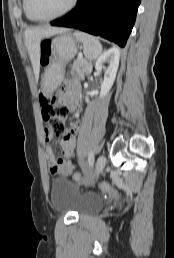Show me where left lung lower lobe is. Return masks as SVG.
Here are the masks:
<instances>
[{
    "instance_id": "obj_1",
    "label": "left lung lower lobe",
    "mask_w": 174,
    "mask_h": 258,
    "mask_svg": "<svg viewBox=\"0 0 174 258\" xmlns=\"http://www.w3.org/2000/svg\"><path fill=\"white\" fill-rule=\"evenodd\" d=\"M140 2L141 0H79L70 13L52 21L51 25L76 28L124 47L135 23Z\"/></svg>"
}]
</instances>
